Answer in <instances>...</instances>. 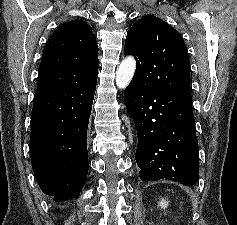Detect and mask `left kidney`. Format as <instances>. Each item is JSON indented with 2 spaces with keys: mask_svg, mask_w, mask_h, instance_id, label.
<instances>
[{
  "mask_svg": "<svg viewBox=\"0 0 237 225\" xmlns=\"http://www.w3.org/2000/svg\"><path fill=\"white\" fill-rule=\"evenodd\" d=\"M168 205H169V201L165 198H162L161 201L158 204V206H160L161 209L167 208Z\"/></svg>",
  "mask_w": 237,
  "mask_h": 225,
  "instance_id": "obj_1",
  "label": "left kidney"
}]
</instances>
